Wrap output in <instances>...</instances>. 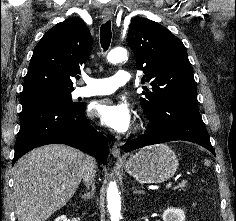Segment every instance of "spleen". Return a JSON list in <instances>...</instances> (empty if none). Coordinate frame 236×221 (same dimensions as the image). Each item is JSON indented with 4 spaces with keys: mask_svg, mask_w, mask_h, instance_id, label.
<instances>
[{
    "mask_svg": "<svg viewBox=\"0 0 236 221\" xmlns=\"http://www.w3.org/2000/svg\"><path fill=\"white\" fill-rule=\"evenodd\" d=\"M205 164H206V165H209L210 162H209L208 160H205Z\"/></svg>",
    "mask_w": 236,
    "mask_h": 221,
    "instance_id": "1",
    "label": "spleen"
}]
</instances>
